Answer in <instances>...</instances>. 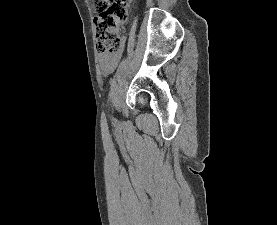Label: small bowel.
Returning <instances> with one entry per match:
<instances>
[{"mask_svg": "<svg viewBox=\"0 0 277 225\" xmlns=\"http://www.w3.org/2000/svg\"><path fill=\"white\" fill-rule=\"evenodd\" d=\"M121 52L113 55H102L99 58L100 68L104 75H108L113 72L117 64L121 59Z\"/></svg>", "mask_w": 277, "mask_h": 225, "instance_id": "small-bowel-1", "label": "small bowel"}]
</instances>
